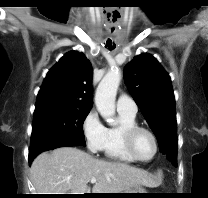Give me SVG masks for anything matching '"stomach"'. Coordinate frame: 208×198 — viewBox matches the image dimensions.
Here are the masks:
<instances>
[{"label": "stomach", "instance_id": "1", "mask_svg": "<svg viewBox=\"0 0 208 198\" xmlns=\"http://www.w3.org/2000/svg\"><path fill=\"white\" fill-rule=\"evenodd\" d=\"M121 193L122 194L120 197L122 198H142L144 197V193H148V192H146V190L141 186H135Z\"/></svg>", "mask_w": 208, "mask_h": 198}]
</instances>
